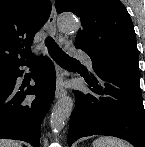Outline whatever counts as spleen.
Returning <instances> with one entry per match:
<instances>
[{
  "mask_svg": "<svg viewBox=\"0 0 145 147\" xmlns=\"http://www.w3.org/2000/svg\"><path fill=\"white\" fill-rule=\"evenodd\" d=\"M93 147H127V145L120 139L103 136L93 142Z\"/></svg>",
  "mask_w": 145,
  "mask_h": 147,
  "instance_id": "obj_1",
  "label": "spleen"
}]
</instances>
